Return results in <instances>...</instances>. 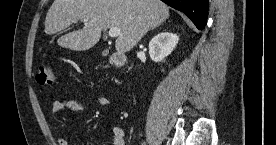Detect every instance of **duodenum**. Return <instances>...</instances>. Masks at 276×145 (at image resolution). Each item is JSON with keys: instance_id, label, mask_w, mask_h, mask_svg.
<instances>
[{"instance_id": "1", "label": "duodenum", "mask_w": 276, "mask_h": 145, "mask_svg": "<svg viewBox=\"0 0 276 145\" xmlns=\"http://www.w3.org/2000/svg\"><path fill=\"white\" fill-rule=\"evenodd\" d=\"M111 62L117 66L120 67L124 64L125 62V56L123 55V53H115L112 55L111 57Z\"/></svg>"}]
</instances>
